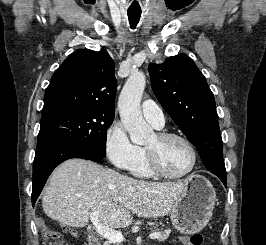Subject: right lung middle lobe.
<instances>
[{
    "mask_svg": "<svg viewBox=\"0 0 266 245\" xmlns=\"http://www.w3.org/2000/svg\"><path fill=\"white\" fill-rule=\"evenodd\" d=\"M114 113L98 108H77L41 119L37 150L57 143L87 148L105 157L107 129Z\"/></svg>",
    "mask_w": 266,
    "mask_h": 245,
    "instance_id": "right-lung-middle-lobe-1",
    "label": "right lung middle lobe"
}]
</instances>
